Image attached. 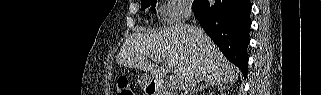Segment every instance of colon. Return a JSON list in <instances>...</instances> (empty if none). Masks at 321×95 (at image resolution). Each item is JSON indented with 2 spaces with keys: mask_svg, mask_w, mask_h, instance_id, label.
<instances>
[{
  "mask_svg": "<svg viewBox=\"0 0 321 95\" xmlns=\"http://www.w3.org/2000/svg\"><path fill=\"white\" fill-rule=\"evenodd\" d=\"M118 95H134L132 88L126 78H120L117 82Z\"/></svg>",
  "mask_w": 321,
  "mask_h": 95,
  "instance_id": "5ec220e1",
  "label": "colon"
}]
</instances>
